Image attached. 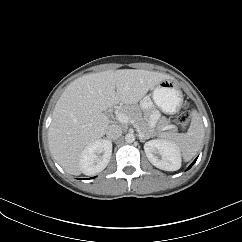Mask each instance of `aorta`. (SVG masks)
<instances>
[{
    "instance_id": "762f6f07",
    "label": "aorta",
    "mask_w": 242,
    "mask_h": 242,
    "mask_svg": "<svg viewBox=\"0 0 242 242\" xmlns=\"http://www.w3.org/2000/svg\"><path fill=\"white\" fill-rule=\"evenodd\" d=\"M125 141L127 143H133L135 141V136L134 134L132 133H128L126 136H125Z\"/></svg>"
}]
</instances>
